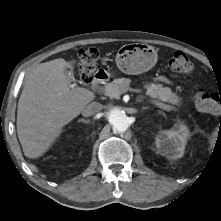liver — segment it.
I'll use <instances>...</instances> for the list:
<instances>
[{"mask_svg": "<svg viewBox=\"0 0 221 221\" xmlns=\"http://www.w3.org/2000/svg\"><path fill=\"white\" fill-rule=\"evenodd\" d=\"M75 61L63 58L41 63L27 74L17 108V134L24 155L42 156L95 95L82 87L71 88L65 69Z\"/></svg>", "mask_w": 221, "mask_h": 221, "instance_id": "liver-1", "label": "liver"}]
</instances>
